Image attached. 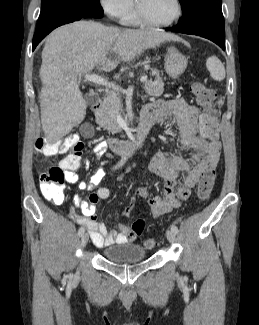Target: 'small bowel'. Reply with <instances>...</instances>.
Instances as JSON below:
<instances>
[{"label": "small bowel", "instance_id": "obj_1", "mask_svg": "<svg viewBox=\"0 0 259 325\" xmlns=\"http://www.w3.org/2000/svg\"><path fill=\"white\" fill-rule=\"evenodd\" d=\"M144 113L149 114L154 122L164 121L172 115L176 120L182 145L191 152L189 157L157 152L151 159L150 172L163 181L162 196L150 194L147 181H142L135 187V193L147 201L152 215L159 217L177 208L181 201L188 199L200 177L205 172L215 169L221 145L217 141L218 129L207 128L209 116L201 113L184 98L158 100L149 105ZM106 151L105 142H98L94 147V153L98 158L103 157ZM70 161L74 162L73 166L67 165ZM59 165L64 167L65 180L68 183L76 184L80 190L92 192L88 200L75 195L73 202L82 212L76 220L87 227L94 245L102 248L115 243L135 241L137 234L129 226L120 223L119 231H116L108 229L104 223L97 220L95 215L97 202L108 199L111 194L107 187L98 188L105 178L104 168H97L88 181H83L77 173L83 166L80 157L66 156ZM84 166L88 168L89 162H85Z\"/></svg>", "mask_w": 259, "mask_h": 325}]
</instances>
